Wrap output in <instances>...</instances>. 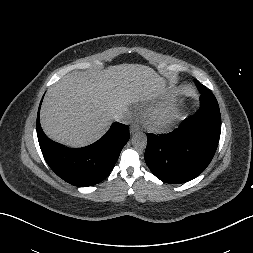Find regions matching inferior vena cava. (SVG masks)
I'll return each mask as SVG.
<instances>
[{"mask_svg": "<svg viewBox=\"0 0 253 253\" xmlns=\"http://www.w3.org/2000/svg\"><path fill=\"white\" fill-rule=\"evenodd\" d=\"M113 118L121 123H129L130 117L128 116L126 110L117 112L113 115Z\"/></svg>", "mask_w": 253, "mask_h": 253, "instance_id": "inferior-vena-cava-1", "label": "inferior vena cava"}]
</instances>
